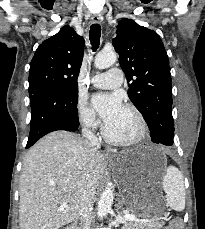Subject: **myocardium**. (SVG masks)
Wrapping results in <instances>:
<instances>
[{
    "label": "myocardium",
    "instance_id": "myocardium-1",
    "mask_svg": "<svg viewBox=\"0 0 205 229\" xmlns=\"http://www.w3.org/2000/svg\"><path fill=\"white\" fill-rule=\"evenodd\" d=\"M124 108L132 112L133 115L135 116L137 123H138V130L136 134L130 138H115L108 133L106 129V125H103L102 134L105 140L114 145L127 146V145L136 144L145 137L146 132H147L146 120L143 114L141 113V111L135 105L130 104V103L125 104Z\"/></svg>",
    "mask_w": 205,
    "mask_h": 229
}]
</instances>
